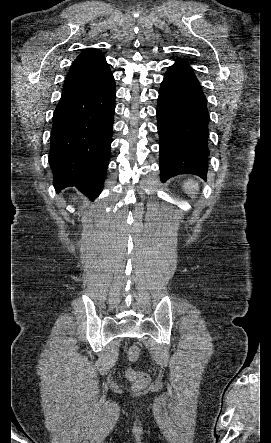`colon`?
<instances>
[{"label":"colon","mask_w":271,"mask_h":443,"mask_svg":"<svg viewBox=\"0 0 271 443\" xmlns=\"http://www.w3.org/2000/svg\"><path fill=\"white\" fill-rule=\"evenodd\" d=\"M142 355L141 348L138 345H131L127 352L128 360L131 363L137 362ZM127 378L133 383L134 388L142 389L149 383V375L146 372L139 371L133 367L126 370Z\"/></svg>","instance_id":"colon-1"}]
</instances>
